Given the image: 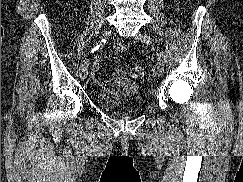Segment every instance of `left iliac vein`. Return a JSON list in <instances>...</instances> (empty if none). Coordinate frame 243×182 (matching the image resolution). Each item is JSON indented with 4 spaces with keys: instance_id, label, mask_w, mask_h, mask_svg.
Wrapping results in <instances>:
<instances>
[{
    "instance_id": "4c4485c4",
    "label": "left iliac vein",
    "mask_w": 243,
    "mask_h": 182,
    "mask_svg": "<svg viewBox=\"0 0 243 182\" xmlns=\"http://www.w3.org/2000/svg\"><path fill=\"white\" fill-rule=\"evenodd\" d=\"M135 39L141 42H145V43H149L151 42V37L147 34H143V33H138L135 36ZM164 67V56L163 53L159 50H157V63H156V68L158 72H161V70Z\"/></svg>"
}]
</instances>
